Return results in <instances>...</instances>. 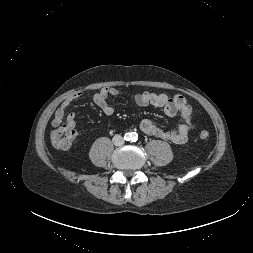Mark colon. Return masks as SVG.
I'll return each mask as SVG.
<instances>
[{"label":"colon","mask_w":253,"mask_h":253,"mask_svg":"<svg viewBox=\"0 0 253 253\" xmlns=\"http://www.w3.org/2000/svg\"><path fill=\"white\" fill-rule=\"evenodd\" d=\"M75 137V130L68 123H63L59 127L55 128L50 135L53 146L59 149H67L71 146ZM199 137L205 141L209 138V132L203 130L200 132Z\"/></svg>","instance_id":"obj_1"}]
</instances>
